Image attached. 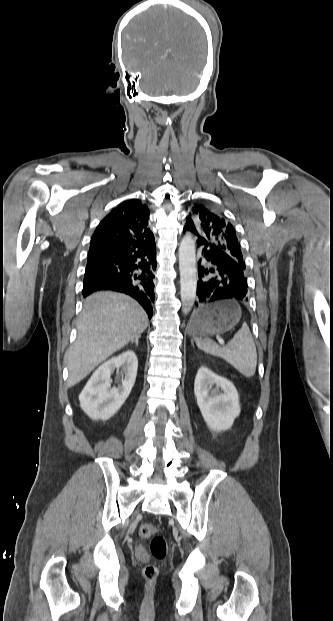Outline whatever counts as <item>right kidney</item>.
Wrapping results in <instances>:
<instances>
[{
    "label": "right kidney",
    "mask_w": 333,
    "mask_h": 621,
    "mask_svg": "<svg viewBox=\"0 0 333 621\" xmlns=\"http://www.w3.org/2000/svg\"><path fill=\"white\" fill-rule=\"evenodd\" d=\"M122 367L124 379L111 387V374ZM138 360L132 350L104 362L91 376L79 395L80 407L92 419L107 420L124 404L135 383Z\"/></svg>",
    "instance_id": "obj_1"
}]
</instances>
